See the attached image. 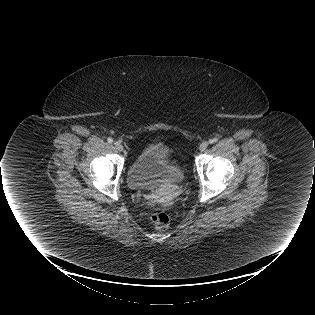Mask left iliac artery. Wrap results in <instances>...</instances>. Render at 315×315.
<instances>
[{
  "mask_svg": "<svg viewBox=\"0 0 315 315\" xmlns=\"http://www.w3.org/2000/svg\"><path fill=\"white\" fill-rule=\"evenodd\" d=\"M217 140H218V138L210 139V140H209V143L212 144V143L216 142Z\"/></svg>",
  "mask_w": 315,
  "mask_h": 315,
  "instance_id": "1",
  "label": "left iliac artery"
}]
</instances>
